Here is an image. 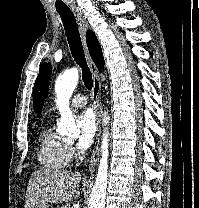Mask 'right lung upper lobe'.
I'll return each instance as SVG.
<instances>
[{"instance_id": "1", "label": "right lung upper lobe", "mask_w": 199, "mask_h": 208, "mask_svg": "<svg viewBox=\"0 0 199 208\" xmlns=\"http://www.w3.org/2000/svg\"><path fill=\"white\" fill-rule=\"evenodd\" d=\"M86 41L92 60L98 69H102L104 67V58L101 46L91 30L86 33Z\"/></svg>"}]
</instances>
